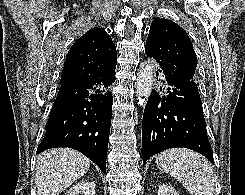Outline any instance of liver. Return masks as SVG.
I'll use <instances>...</instances> for the list:
<instances>
[{
  "mask_svg": "<svg viewBox=\"0 0 245 195\" xmlns=\"http://www.w3.org/2000/svg\"><path fill=\"white\" fill-rule=\"evenodd\" d=\"M90 167V160L71 148H54L37 157L38 195H59Z\"/></svg>",
  "mask_w": 245,
  "mask_h": 195,
  "instance_id": "obj_1",
  "label": "liver"
}]
</instances>
